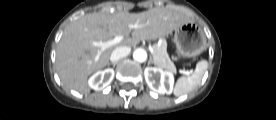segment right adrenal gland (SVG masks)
<instances>
[{
    "label": "right adrenal gland",
    "instance_id": "right-adrenal-gland-1",
    "mask_svg": "<svg viewBox=\"0 0 276 120\" xmlns=\"http://www.w3.org/2000/svg\"><path fill=\"white\" fill-rule=\"evenodd\" d=\"M112 64L113 67H115V65L117 64V62H112V63H109L108 65Z\"/></svg>",
    "mask_w": 276,
    "mask_h": 120
}]
</instances>
